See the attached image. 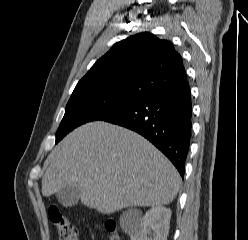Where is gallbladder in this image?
Listing matches in <instances>:
<instances>
[{
  "mask_svg": "<svg viewBox=\"0 0 248 240\" xmlns=\"http://www.w3.org/2000/svg\"><path fill=\"white\" fill-rule=\"evenodd\" d=\"M81 196V189L77 185H68L56 193L58 202L64 207L76 205Z\"/></svg>",
  "mask_w": 248,
  "mask_h": 240,
  "instance_id": "bac80fb5",
  "label": "gallbladder"
}]
</instances>
